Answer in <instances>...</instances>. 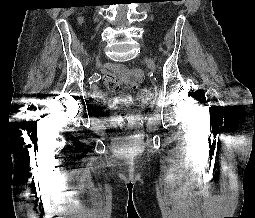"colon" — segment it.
I'll return each instance as SVG.
<instances>
[{
    "label": "colon",
    "instance_id": "1",
    "mask_svg": "<svg viewBox=\"0 0 255 218\" xmlns=\"http://www.w3.org/2000/svg\"><path fill=\"white\" fill-rule=\"evenodd\" d=\"M177 2H181L182 0H175ZM106 82L108 83L109 87L113 91H117L122 88V84L115 80V79H106ZM142 99L146 102H149L153 99V92L150 89H144L141 93ZM121 119H122V127L127 129L130 124V120L133 116V110L129 107H125L122 109L120 113Z\"/></svg>",
    "mask_w": 255,
    "mask_h": 218
}]
</instances>
